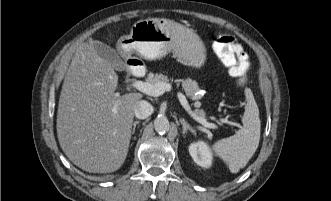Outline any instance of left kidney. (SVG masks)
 Listing matches in <instances>:
<instances>
[{"label": "left kidney", "mask_w": 331, "mask_h": 201, "mask_svg": "<svg viewBox=\"0 0 331 201\" xmlns=\"http://www.w3.org/2000/svg\"><path fill=\"white\" fill-rule=\"evenodd\" d=\"M189 153L194 162L199 166L208 168L212 165V153L205 142L198 141L192 143L189 146Z\"/></svg>", "instance_id": "1"}]
</instances>
